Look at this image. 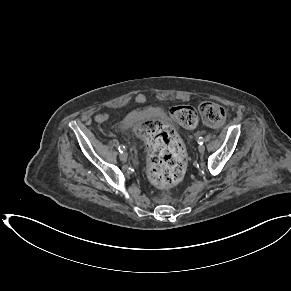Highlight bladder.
Here are the masks:
<instances>
[{
  "label": "bladder",
  "instance_id": "31cf9c89",
  "mask_svg": "<svg viewBox=\"0 0 291 291\" xmlns=\"http://www.w3.org/2000/svg\"><path fill=\"white\" fill-rule=\"evenodd\" d=\"M136 117L137 116H131L125 120L123 127L126 131L133 132L138 129V123L136 121Z\"/></svg>",
  "mask_w": 291,
  "mask_h": 291
}]
</instances>
